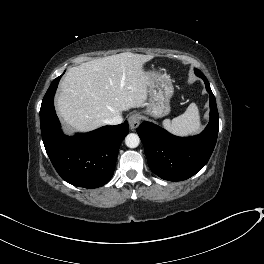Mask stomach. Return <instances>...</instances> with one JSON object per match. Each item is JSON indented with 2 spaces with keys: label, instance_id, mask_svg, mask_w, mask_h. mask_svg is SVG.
I'll return each instance as SVG.
<instances>
[{
  "label": "stomach",
  "instance_id": "obj_1",
  "mask_svg": "<svg viewBox=\"0 0 264 264\" xmlns=\"http://www.w3.org/2000/svg\"><path fill=\"white\" fill-rule=\"evenodd\" d=\"M149 99L146 103V114L161 118L170 113V99L174 93L172 81L165 74L148 71Z\"/></svg>",
  "mask_w": 264,
  "mask_h": 264
}]
</instances>
